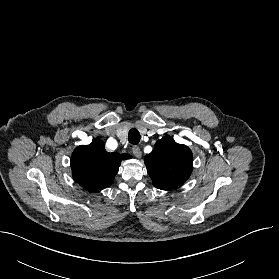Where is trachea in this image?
<instances>
[{
	"instance_id": "obj_1",
	"label": "trachea",
	"mask_w": 279,
	"mask_h": 279,
	"mask_svg": "<svg viewBox=\"0 0 279 279\" xmlns=\"http://www.w3.org/2000/svg\"><path fill=\"white\" fill-rule=\"evenodd\" d=\"M140 133L137 129H131L128 133V140L131 144H138L140 141Z\"/></svg>"
}]
</instances>
